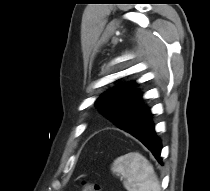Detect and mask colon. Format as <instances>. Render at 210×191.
Returning <instances> with one entry per match:
<instances>
[{"label":"colon","instance_id":"colon-1","mask_svg":"<svg viewBox=\"0 0 210 191\" xmlns=\"http://www.w3.org/2000/svg\"><path fill=\"white\" fill-rule=\"evenodd\" d=\"M82 191H101V187L95 183H85Z\"/></svg>","mask_w":210,"mask_h":191}]
</instances>
